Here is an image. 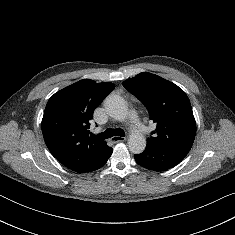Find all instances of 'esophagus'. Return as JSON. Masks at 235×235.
I'll return each mask as SVG.
<instances>
[{
	"label": "esophagus",
	"mask_w": 235,
	"mask_h": 235,
	"mask_svg": "<svg viewBox=\"0 0 235 235\" xmlns=\"http://www.w3.org/2000/svg\"><path fill=\"white\" fill-rule=\"evenodd\" d=\"M125 140H126L125 137H120V136H114V137L111 138L112 143L123 142Z\"/></svg>",
	"instance_id": "34e87169"
}]
</instances>
